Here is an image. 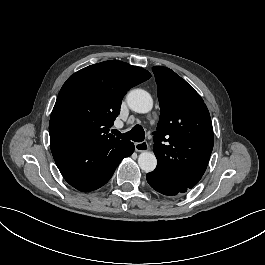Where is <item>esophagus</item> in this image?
<instances>
[{"mask_svg":"<svg viewBox=\"0 0 265 265\" xmlns=\"http://www.w3.org/2000/svg\"><path fill=\"white\" fill-rule=\"evenodd\" d=\"M149 149V145L146 141L135 143V150L137 152H145Z\"/></svg>","mask_w":265,"mask_h":265,"instance_id":"obj_1","label":"esophagus"}]
</instances>
